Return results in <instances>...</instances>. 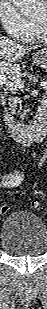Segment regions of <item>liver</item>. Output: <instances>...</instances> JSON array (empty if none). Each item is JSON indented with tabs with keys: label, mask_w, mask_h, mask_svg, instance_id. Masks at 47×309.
Here are the masks:
<instances>
[{
	"label": "liver",
	"mask_w": 47,
	"mask_h": 309,
	"mask_svg": "<svg viewBox=\"0 0 47 309\" xmlns=\"http://www.w3.org/2000/svg\"><path fill=\"white\" fill-rule=\"evenodd\" d=\"M35 47L19 44L9 38L0 37V76L17 75L20 72L19 60Z\"/></svg>",
	"instance_id": "liver-1"
}]
</instances>
